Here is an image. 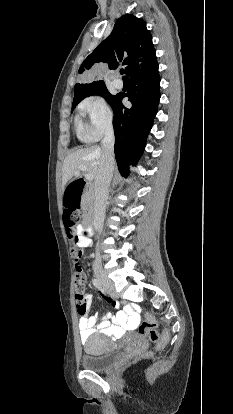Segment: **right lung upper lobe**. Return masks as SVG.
<instances>
[{
	"label": "right lung upper lobe",
	"mask_w": 233,
	"mask_h": 414,
	"mask_svg": "<svg viewBox=\"0 0 233 414\" xmlns=\"http://www.w3.org/2000/svg\"><path fill=\"white\" fill-rule=\"evenodd\" d=\"M100 63H107L110 69L117 68L119 64L126 66L125 73L129 78L148 73L158 66L152 36L144 20L132 14L119 18L110 36L82 63L79 74L91 72ZM101 85H105L104 81L77 83L74 100Z\"/></svg>",
	"instance_id": "cb5924a9"
}]
</instances>
